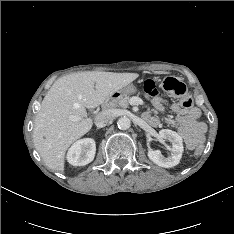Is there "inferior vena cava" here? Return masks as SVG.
Returning a JSON list of instances; mask_svg holds the SVG:
<instances>
[{
  "label": "inferior vena cava",
  "instance_id": "1",
  "mask_svg": "<svg viewBox=\"0 0 234 234\" xmlns=\"http://www.w3.org/2000/svg\"><path fill=\"white\" fill-rule=\"evenodd\" d=\"M113 115L108 111H102L95 117V125L98 128L105 127L111 120Z\"/></svg>",
  "mask_w": 234,
  "mask_h": 234
}]
</instances>
